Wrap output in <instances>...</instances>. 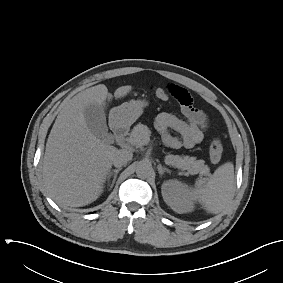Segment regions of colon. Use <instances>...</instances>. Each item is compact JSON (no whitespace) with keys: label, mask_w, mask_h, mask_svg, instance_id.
<instances>
[{"label":"colon","mask_w":283,"mask_h":283,"mask_svg":"<svg viewBox=\"0 0 283 283\" xmlns=\"http://www.w3.org/2000/svg\"><path fill=\"white\" fill-rule=\"evenodd\" d=\"M153 93L154 95L161 99L165 100L168 98V93L164 88L161 87H155L153 88ZM223 154V146L218 138H214L209 146V155H210V160L213 164H217L220 162Z\"/></svg>","instance_id":"colon-1"}]
</instances>
